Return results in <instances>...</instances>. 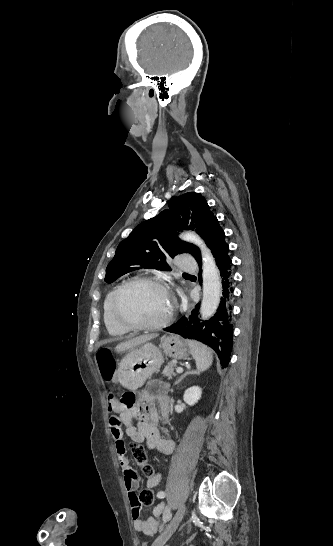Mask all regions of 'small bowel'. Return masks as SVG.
Returning a JSON list of instances; mask_svg holds the SVG:
<instances>
[{"mask_svg": "<svg viewBox=\"0 0 333 546\" xmlns=\"http://www.w3.org/2000/svg\"><path fill=\"white\" fill-rule=\"evenodd\" d=\"M110 378L113 381L120 380L119 371L112 370ZM136 398L137 403L133 407L116 402L111 403L110 409L116 415L110 418V431L115 443L117 459L123 471L134 529L146 535H153L160 528V524L168 520V507L165 503H160L154 508L153 515L144 519L141 517V506L137 495L139 475L130 465L123 428L134 443H144L149 450L156 449L163 455L171 454L175 442L166 428L169 411L168 384L152 381L137 394ZM159 480V474H154L148 478L147 484L149 487H155ZM158 497L164 498V493L159 492Z\"/></svg>", "mask_w": 333, "mask_h": 546, "instance_id": "obj_1", "label": "small bowel"}]
</instances>
